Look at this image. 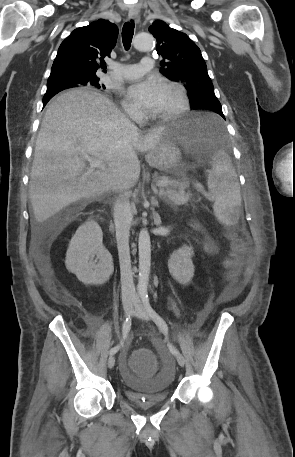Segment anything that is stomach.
I'll list each match as a JSON object with an SVG mask.
<instances>
[{
	"instance_id": "0dacf381",
	"label": "stomach",
	"mask_w": 295,
	"mask_h": 457,
	"mask_svg": "<svg viewBox=\"0 0 295 457\" xmlns=\"http://www.w3.org/2000/svg\"><path fill=\"white\" fill-rule=\"evenodd\" d=\"M207 122L199 115L173 121L165 126L158 144L145 156L147 163L160 171L177 173L182 168L181 147L193 149L210 142Z\"/></svg>"
}]
</instances>
